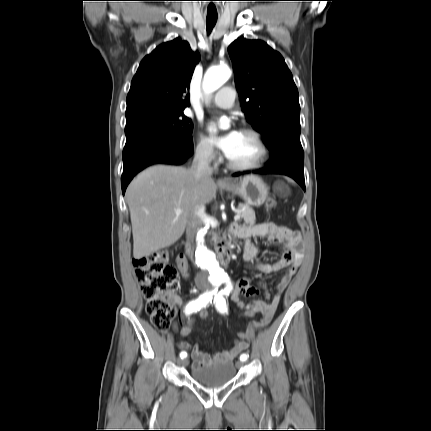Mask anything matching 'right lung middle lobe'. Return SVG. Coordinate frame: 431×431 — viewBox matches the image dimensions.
I'll return each instance as SVG.
<instances>
[{
	"label": "right lung middle lobe",
	"mask_w": 431,
	"mask_h": 431,
	"mask_svg": "<svg viewBox=\"0 0 431 431\" xmlns=\"http://www.w3.org/2000/svg\"><path fill=\"white\" fill-rule=\"evenodd\" d=\"M193 124L183 111L152 112L126 120V138L148 132L161 131L171 136L191 140Z\"/></svg>",
	"instance_id": "obj_1"
}]
</instances>
